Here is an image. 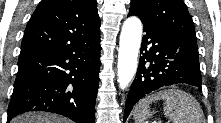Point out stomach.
Wrapping results in <instances>:
<instances>
[{"instance_id": "0dacf381", "label": "stomach", "mask_w": 221, "mask_h": 123, "mask_svg": "<svg viewBox=\"0 0 221 123\" xmlns=\"http://www.w3.org/2000/svg\"><path fill=\"white\" fill-rule=\"evenodd\" d=\"M152 113L150 112V110H149V116L151 115Z\"/></svg>"}]
</instances>
